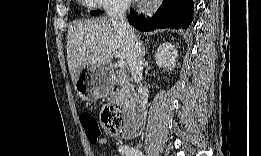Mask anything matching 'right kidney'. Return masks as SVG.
<instances>
[{"mask_svg":"<svg viewBox=\"0 0 261 156\" xmlns=\"http://www.w3.org/2000/svg\"><path fill=\"white\" fill-rule=\"evenodd\" d=\"M177 50L171 43H162L155 54L156 64L159 67L172 71L176 66Z\"/></svg>","mask_w":261,"mask_h":156,"instance_id":"obj_1","label":"right kidney"}]
</instances>
